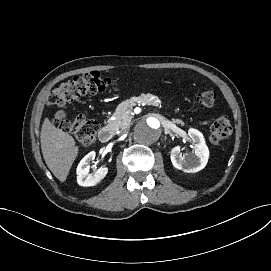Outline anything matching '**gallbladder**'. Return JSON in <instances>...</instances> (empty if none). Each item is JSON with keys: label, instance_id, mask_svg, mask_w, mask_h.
Masks as SVG:
<instances>
[{"label": "gallbladder", "instance_id": "bac80fb5", "mask_svg": "<svg viewBox=\"0 0 271 271\" xmlns=\"http://www.w3.org/2000/svg\"><path fill=\"white\" fill-rule=\"evenodd\" d=\"M62 116H63V113L60 112V113L58 114V117H62Z\"/></svg>", "mask_w": 271, "mask_h": 271}]
</instances>
